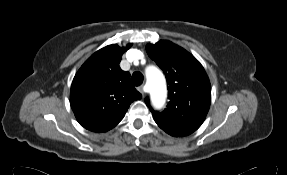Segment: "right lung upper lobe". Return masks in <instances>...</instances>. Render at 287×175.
Wrapping results in <instances>:
<instances>
[{"label":"right lung upper lobe","mask_w":287,"mask_h":175,"mask_svg":"<svg viewBox=\"0 0 287 175\" xmlns=\"http://www.w3.org/2000/svg\"><path fill=\"white\" fill-rule=\"evenodd\" d=\"M126 47L116 44L95 52L75 75L70 104L78 122L92 132H106L124 117L130 104L142 95L119 63Z\"/></svg>","instance_id":"right-lung-upper-lobe-1"}]
</instances>
